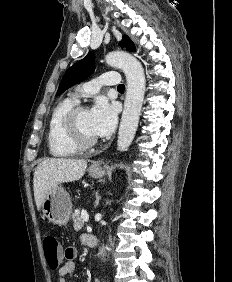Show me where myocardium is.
I'll return each instance as SVG.
<instances>
[{
    "label": "myocardium",
    "mask_w": 232,
    "mask_h": 282,
    "mask_svg": "<svg viewBox=\"0 0 232 282\" xmlns=\"http://www.w3.org/2000/svg\"><path fill=\"white\" fill-rule=\"evenodd\" d=\"M87 108L83 105H74L65 115L63 126L68 140L79 149H87L98 143L97 138H86L78 125L79 113Z\"/></svg>",
    "instance_id": "obj_1"
}]
</instances>
